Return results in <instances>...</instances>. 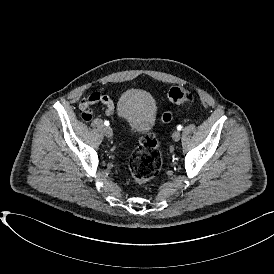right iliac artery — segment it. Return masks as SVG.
<instances>
[{
  "mask_svg": "<svg viewBox=\"0 0 274 274\" xmlns=\"http://www.w3.org/2000/svg\"><path fill=\"white\" fill-rule=\"evenodd\" d=\"M104 124H105L106 126H108L110 123H109V121L106 120V121L104 122Z\"/></svg>",
  "mask_w": 274,
  "mask_h": 274,
  "instance_id": "82829eb1",
  "label": "right iliac artery"
}]
</instances>
